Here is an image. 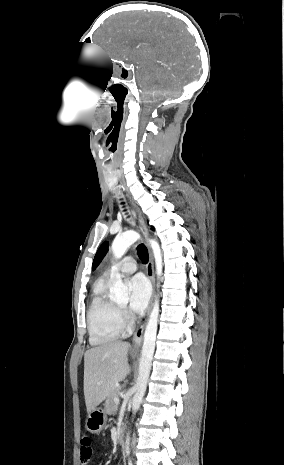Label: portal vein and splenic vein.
Here are the masks:
<instances>
[{"label": "portal vein and splenic vein", "mask_w": 284, "mask_h": 465, "mask_svg": "<svg viewBox=\"0 0 284 465\" xmlns=\"http://www.w3.org/2000/svg\"><path fill=\"white\" fill-rule=\"evenodd\" d=\"M114 403H115V405H120L119 397H114Z\"/></svg>", "instance_id": "1"}]
</instances>
